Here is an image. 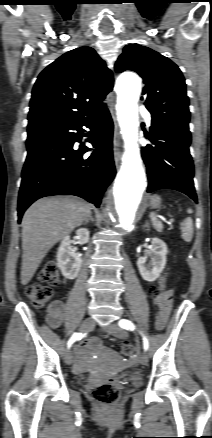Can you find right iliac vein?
<instances>
[{
	"mask_svg": "<svg viewBox=\"0 0 212 438\" xmlns=\"http://www.w3.org/2000/svg\"><path fill=\"white\" fill-rule=\"evenodd\" d=\"M95 327V322L92 318H86L80 325V330L82 332L92 331ZM73 361L72 351L69 350L65 355V362L70 365Z\"/></svg>",
	"mask_w": 212,
	"mask_h": 438,
	"instance_id": "63e3f726",
	"label": "right iliac vein"
}]
</instances>
